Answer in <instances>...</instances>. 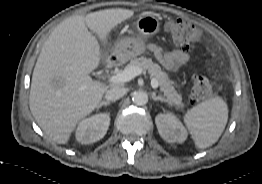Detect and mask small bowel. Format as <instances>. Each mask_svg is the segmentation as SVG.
Segmentation results:
<instances>
[{
  "instance_id": "c3829d8e",
  "label": "small bowel",
  "mask_w": 262,
  "mask_h": 184,
  "mask_svg": "<svg viewBox=\"0 0 262 184\" xmlns=\"http://www.w3.org/2000/svg\"><path fill=\"white\" fill-rule=\"evenodd\" d=\"M149 50L155 55L160 64L167 70H180L190 61L189 54L184 50L164 52L160 46L155 44L149 45Z\"/></svg>"
}]
</instances>
